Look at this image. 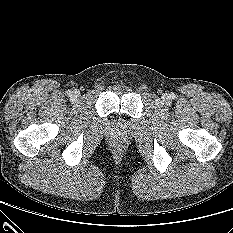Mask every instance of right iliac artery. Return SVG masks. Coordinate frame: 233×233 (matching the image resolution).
Segmentation results:
<instances>
[{
  "instance_id": "right-iliac-artery-1",
  "label": "right iliac artery",
  "mask_w": 233,
  "mask_h": 233,
  "mask_svg": "<svg viewBox=\"0 0 233 233\" xmlns=\"http://www.w3.org/2000/svg\"><path fill=\"white\" fill-rule=\"evenodd\" d=\"M66 94H67V95H71V94H72V91H71V90H67V91H66Z\"/></svg>"
}]
</instances>
